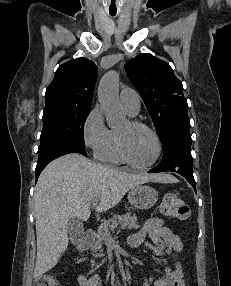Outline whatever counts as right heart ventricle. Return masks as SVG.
<instances>
[{"instance_id":"right-heart-ventricle-1","label":"right heart ventricle","mask_w":231,"mask_h":286,"mask_svg":"<svg viewBox=\"0 0 231 286\" xmlns=\"http://www.w3.org/2000/svg\"><path fill=\"white\" fill-rule=\"evenodd\" d=\"M96 158L105 164L120 165L123 163L116 142V131L110 130V134L106 143L95 154Z\"/></svg>"}]
</instances>
